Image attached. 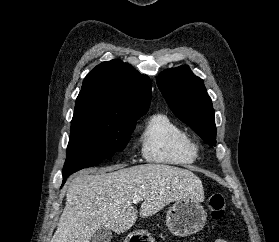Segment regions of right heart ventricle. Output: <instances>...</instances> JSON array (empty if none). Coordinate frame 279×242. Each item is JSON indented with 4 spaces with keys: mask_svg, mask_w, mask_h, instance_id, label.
<instances>
[{
    "mask_svg": "<svg viewBox=\"0 0 279 242\" xmlns=\"http://www.w3.org/2000/svg\"><path fill=\"white\" fill-rule=\"evenodd\" d=\"M139 142L143 158L150 163L186 166L194 163L197 157L185 131L163 113L148 118Z\"/></svg>",
    "mask_w": 279,
    "mask_h": 242,
    "instance_id": "right-heart-ventricle-1",
    "label": "right heart ventricle"
}]
</instances>
